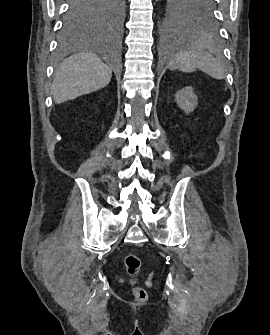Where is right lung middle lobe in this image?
<instances>
[{
	"instance_id": "right-lung-middle-lobe-1",
	"label": "right lung middle lobe",
	"mask_w": 270,
	"mask_h": 335,
	"mask_svg": "<svg viewBox=\"0 0 270 335\" xmlns=\"http://www.w3.org/2000/svg\"><path fill=\"white\" fill-rule=\"evenodd\" d=\"M126 0H70L59 35L61 45L98 27H121Z\"/></svg>"
}]
</instances>
